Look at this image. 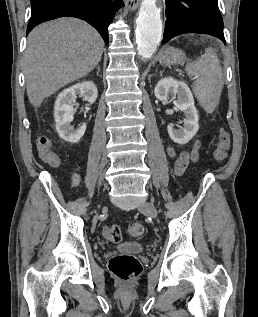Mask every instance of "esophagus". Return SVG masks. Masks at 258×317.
I'll list each match as a JSON object with an SVG mask.
<instances>
[{"mask_svg": "<svg viewBox=\"0 0 258 317\" xmlns=\"http://www.w3.org/2000/svg\"><path fill=\"white\" fill-rule=\"evenodd\" d=\"M140 0H125V5L129 10H136L139 6Z\"/></svg>", "mask_w": 258, "mask_h": 317, "instance_id": "obj_1", "label": "esophagus"}]
</instances>
